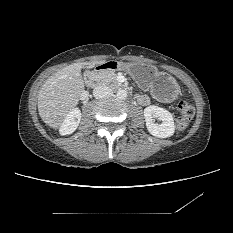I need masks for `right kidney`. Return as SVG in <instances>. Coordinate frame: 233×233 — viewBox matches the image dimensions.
I'll list each match as a JSON object with an SVG mask.
<instances>
[{"instance_id": "1", "label": "right kidney", "mask_w": 233, "mask_h": 233, "mask_svg": "<svg viewBox=\"0 0 233 233\" xmlns=\"http://www.w3.org/2000/svg\"><path fill=\"white\" fill-rule=\"evenodd\" d=\"M81 120V112L78 108H74L70 111L67 117L64 119L59 132L61 135L72 134L78 127Z\"/></svg>"}]
</instances>
